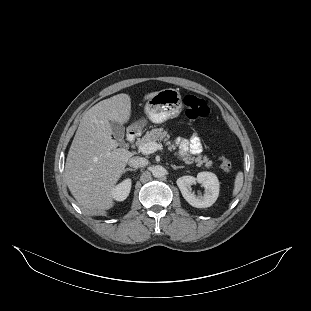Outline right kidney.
Segmentation results:
<instances>
[{"label":"right kidney","instance_id":"obj_1","mask_svg":"<svg viewBox=\"0 0 311 311\" xmlns=\"http://www.w3.org/2000/svg\"><path fill=\"white\" fill-rule=\"evenodd\" d=\"M131 183L125 180L112 191V197L117 200H125L129 195Z\"/></svg>","mask_w":311,"mask_h":311}]
</instances>
